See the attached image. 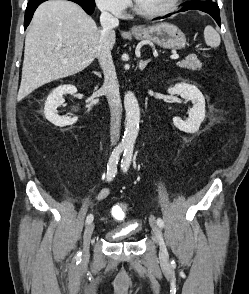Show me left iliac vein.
Returning <instances> with one entry per match:
<instances>
[{
	"mask_svg": "<svg viewBox=\"0 0 249 294\" xmlns=\"http://www.w3.org/2000/svg\"><path fill=\"white\" fill-rule=\"evenodd\" d=\"M150 226L152 228V231H153L155 238H156L158 245H159L160 259L163 262H167L168 261V251H167L164 239H163V234H162L161 228L156 223L153 216L150 217Z\"/></svg>",
	"mask_w": 249,
	"mask_h": 294,
	"instance_id": "obj_1",
	"label": "left iliac vein"
}]
</instances>
